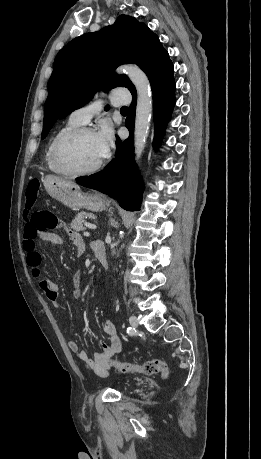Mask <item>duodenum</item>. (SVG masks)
Instances as JSON below:
<instances>
[{"label":"duodenum","instance_id":"410a0bca","mask_svg":"<svg viewBox=\"0 0 261 459\" xmlns=\"http://www.w3.org/2000/svg\"><path fill=\"white\" fill-rule=\"evenodd\" d=\"M93 253L97 261L104 267H108L106 248L102 242H94L92 245Z\"/></svg>","mask_w":261,"mask_h":459}]
</instances>
